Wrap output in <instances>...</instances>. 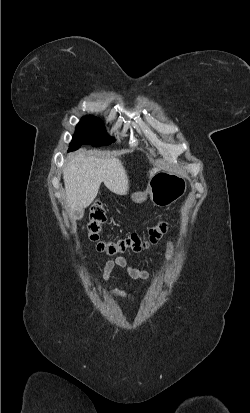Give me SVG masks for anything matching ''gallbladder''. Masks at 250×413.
<instances>
[{
    "mask_svg": "<svg viewBox=\"0 0 250 413\" xmlns=\"http://www.w3.org/2000/svg\"><path fill=\"white\" fill-rule=\"evenodd\" d=\"M73 214H74L76 219H81L83 217L84 212H83V210H76V211H74Z\"/></svg>",
    "mask_w": 250,
    "mask_h": 413,
    "instance_id": "1",
    "label": "gallbladder"
}]
</instances>
